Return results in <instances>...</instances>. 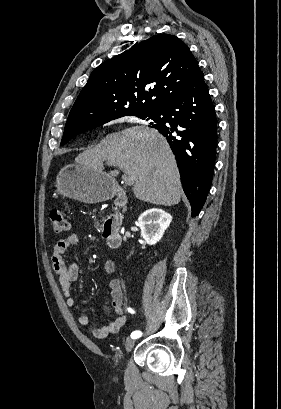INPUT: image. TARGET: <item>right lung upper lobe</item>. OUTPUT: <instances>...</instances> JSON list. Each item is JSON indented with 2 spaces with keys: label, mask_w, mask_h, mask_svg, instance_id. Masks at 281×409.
I'll return each instance as SVG.
<instances>
[{
  "label": "right lung upper lobe",
  "mask_w": 281,
  "mask_h": 409,
  "mask_svg": "<svg viewBox=\"0 0 281 409\" xmlns=\"http://www.w3.org/2000/svg\"><path fill=\"white\" fill-rule=\"evenodd\" d=\"M201 74L197 60L179 38L153 36L92 72L65 128L88 126L124 112H158Z\"/></svg>",
  "instance_id": "right-lung-upper-lobe-1"
}]
</instances>
